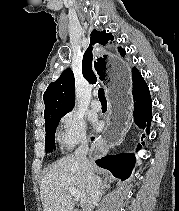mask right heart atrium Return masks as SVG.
I'll list each match as a JSON object with an SVG mask.
<instances>
[{
	"label": "right heart atrium",
	"instance_id": "right-heart-atrium-1",
	"mask_svg": "<svg viewBox=\"0 0 179 211\" xmlns=\"http://www.w3.org/2000/svg\"><path fill=\"white\" fill-rule=\"evenodd\" d=\"M56 138L61 147L71 150L87 141V125L84 117L76 110L65 113L58 124Z\"/></svg>",
	"mask_w": 179,
	"mask_h": 211
}]
</instances>
